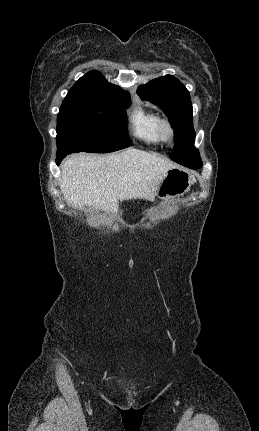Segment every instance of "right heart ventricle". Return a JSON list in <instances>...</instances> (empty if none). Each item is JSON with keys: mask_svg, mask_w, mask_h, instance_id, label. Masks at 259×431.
<instances>
[{"mask_svg": "<svg viewBox=\"0 0 259 431\" xmlns=\"http://www.w3.org/2000/svg\"><path fill=\"white\" fill-rule=\"evenodd\" d=\"M160 117L154 111L136 105L130 115L131 131L133 135L147 144H157L160 142L158 136V123Z\"/></svg>", "mask_w": 259, "mask_h": 431, "instance_id": "e07e8e85", "label": "right heart ventricle"}]
</instances>
